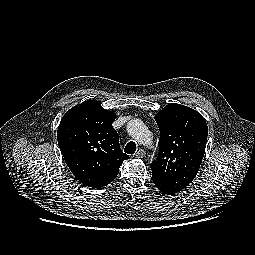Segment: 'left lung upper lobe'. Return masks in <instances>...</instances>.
<instances>
[{"label": "left lung upper lobe", "mask_w": 255, "mask_h": 255, "mask_svg": "<svg viewBox=\"0 0 255 255\" xmlns=\"http://www.w3.org/2000/svg\"><path fill=\"white\" fill-rule=\"evenodd\" d=\"M160 130L159 153L150 164L152 179L177 193L198 173L204 157L208 128L192 108L169 104L155 115Z\"/></svg>", "instance_id": "1"}]
</instances>
